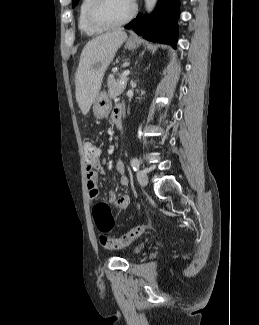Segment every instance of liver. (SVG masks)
<instances>
[{
  "label": "liver",
  "mask_w": 259,
  "mask_h": 325,
  "mask_svg": "<svg viewBox=\"0 0 259 325\" xmlns=\"http://www.w3.org/2000/svg\"><path fill=\"white\" fill-rule=\"evenodd\" d=\"M126 39L125 31L116 30L97 36L83 48L75 74V94L84 115L89 112L101 89L107 67Z\"/></svg>",
  "instance_id": "liver-1"
}]
</instances>
